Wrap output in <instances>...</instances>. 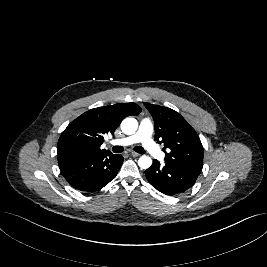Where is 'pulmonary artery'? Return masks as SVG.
I'll return each instance as SVG.
<instances>
[{"label":"pulmonary artery","mask_w":267,"mask_h":267,"mask_svg":"<svg viewBox=\"0 0 267 267\" xmlns=\"http://www.w3.org/2000/svg\"><path fill=\"white\" fill-rule=\"evenodd\" d=\"M153 122L149 118L141 120L137 132L131 136L112 141L113 145L128 146L134 143H141L144 148L155 158H162L163 154L152 140Z\"/></svg>","instance_id":"obj_1"}]
</instances>
